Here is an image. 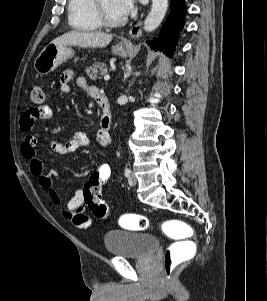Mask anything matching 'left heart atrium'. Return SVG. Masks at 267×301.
<instances>
[{"instance_id":"1","label":"left heart atrium","mask_w":267,"mask_h":301,"mask_svg":"<svg viewBox=\"0 0 267 301\" xmlns=\"http://www.w3.org/2000/svg\"><path fill=\"white\" fill-rule=\"evenodd\" d=\"M113 5L121 17H127L134 11L135 0H113Z\"/></svg>"}]
</instances>
